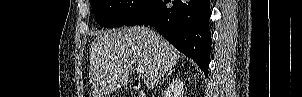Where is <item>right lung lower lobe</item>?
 Wrapping results in <instances>:
<instances>
[{
	"label": "right lung lower lobe",
	"mask_w": 302,
	"mask_h": 97,
	"mask_svg": "<svg viewBox=\"0 0 302 97\" xmlns=\"http://www.w3.org/2000/svg\"><path fill=\"white\" fill-rule=\"evenodd\" d=\"M210 0H148L125 26L150 24L208 75Z\"/></svg>",
	"instance_id": "right-lung-lower-lobe-1"
}]
</instances>
